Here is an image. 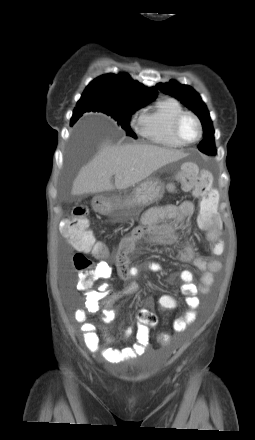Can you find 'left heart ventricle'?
<instances>
[{
    "label": "left heart ventricle",
    "mask_w": 255,
    "mask_h": 440,
    "mask_svg": "<svg viewBox=\"0 0 255 440\" xmlns=\"http://www.w3.org/2000/svg\"><path fill=\"white\" fill-rule=\"evenodd\" d=\"M198 132L197 125L191 117H186L180 125V133L185 140L192 141Z\"/></svg>",
    "instance_id": "b2bd125f"
}]
</instances>
